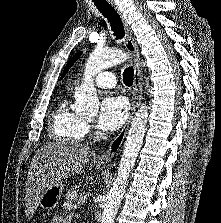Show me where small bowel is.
Instances as JSON below:
<instances>
[{
  "label": "small bowel",
  "instance_id": "small-bowel-1",
  "mask_svg": "<svg viewBox=\"0 0 221 223\" xmlns=\"http://www.w3.org/2000/svg\"><path fill=\"white\" fill-rule=\"evenodd\" d=\"M68 220L62 218V217H56L55 219L52 220L51 223H69L67 222Z\"/></svg>",
  "mask_w": 221,
  "mask_h": 223
}]
</instances>
